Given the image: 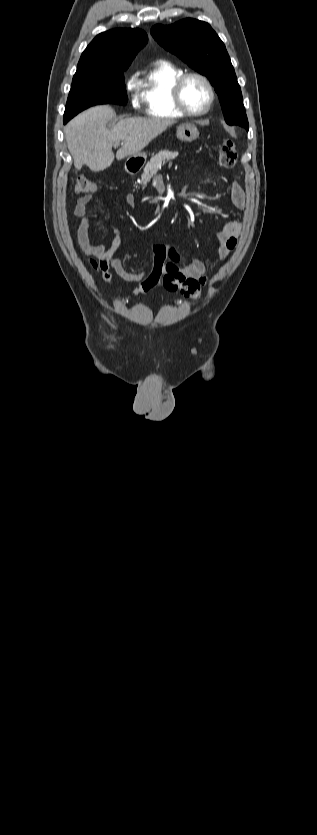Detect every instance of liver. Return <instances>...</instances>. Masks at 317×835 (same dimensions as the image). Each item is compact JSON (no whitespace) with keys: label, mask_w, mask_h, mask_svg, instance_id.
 Returning a JSON list of instances; mask_svg holds the SVG:
<instances>
[{"label":"liver","mask_w":317,"mask_h":835,"mask_svg":"<svg viewBox=\"0 0 317 835\" xmlns=\"http://www.w3.org/2000/svg\"><path fill=\"white\" fill-rule=\"evenodd\" d=\"M115 118L114 109L103 105L82 112L67 124L65 138L75 168L86 164L92 171L104 170L114 161L113 146L121 143L117 160L136 155L173 125L165 119L125 118L107 127Z\"/></svg>","instance_id":"liver-1"}]
</instances>
